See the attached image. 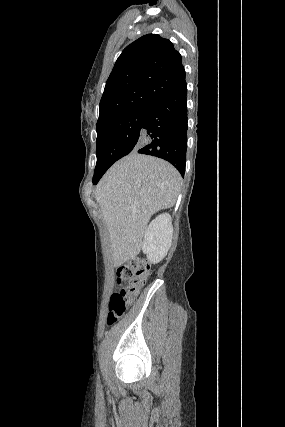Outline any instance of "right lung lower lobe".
<instances>
[{"label":"right lung lower lobe","mask_w":285,"mask_h":427,"mask_svg":"<svg viewBox=\"0 0 285 427\" xmlns=\"http://www.w3.org/2000/svg\"><path fill=\"white\" fill-rule=\"evenodd\" d=\"M187 84L166 93L146 107L138 153L170 162L182 176L187 150ZM105 172L93 177L96 184Z\"/></svg>","instance_id":"obj_1"}]
</instances>
